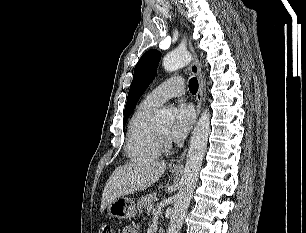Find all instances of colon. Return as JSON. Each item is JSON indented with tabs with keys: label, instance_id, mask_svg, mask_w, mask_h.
Segmentation results:
<instances>
[{
	"label": "colon",
	"instance_id": "5ec220e1",
	"mask_svg": "<svg viewBox=\"0 0 306 233\" xmlns=\"http://www.w3.org/2000/svg\"><path fill=\"white\" fill-rule=\"evenodd\" d=\"M100 233H115L113 225L109 223H104L100 227Z\"/></svg>",
	"mask_w": 306,
	"mask_h": 233
}]
</instances>
